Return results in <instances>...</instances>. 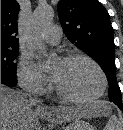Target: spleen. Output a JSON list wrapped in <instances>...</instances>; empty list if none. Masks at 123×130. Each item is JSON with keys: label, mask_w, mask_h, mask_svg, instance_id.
<instances>
[{"label": "spleen", "mask_w": 123, "mask_h": 130, "mask_svg": "<svg viewBox=\"0 0 123 130\" xmlns=\"http://www.w3.org/2000/svg\"><path fill=\"white\" fill-rule=\"evenodd\" d=\"M104 130H122L121 123L115 115L109 118Z\"/></svg>", "instance_id": "1"}]
</instances>
